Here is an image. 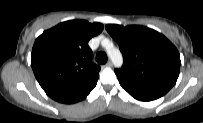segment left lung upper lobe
Segmentation results:
<instances>
[{"label": "left lung upper lobe", "mask_w": 203, "mask_h": 123, "mask_svg": "<svg viewBox=\"0 0 203 123\" xmlns=\"http://www.w3.org/2000/svg\"><path fill=\"white\" fill-rule=\"evenodd\" d=\"M106 30L123 54V67L115 70L118 79L163 94L173 87L179 76L180 55L165 36L139 25L109 24Z\"/></svg>", "instance_id": "1"}]
</instances>
